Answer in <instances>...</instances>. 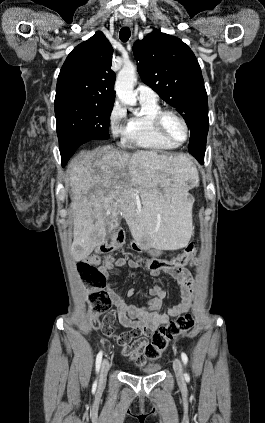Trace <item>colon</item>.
<instances>
[{"label":"colon","mask_w":265,"mask_h":423,"mask_svg":"<svg viewBox=\"0 0 265 423\" xmlns=\"http://www.w3.org/2000/svg\"><path fill=\"white\" fill-rule=\"evenodd\" d=\"M126 233L118 229L109 241L98 246L87 258L77 263V271L88 288V300L91 304L92 325L100 329L106 336H112V316L106 314L100 321L99 315L105 314L111 307L109 293L104 289L105 278L97 268L101 262H113V251L124 245ZM195 247L193 244L187 246L185 252L173 259L149 258L146 259V266L151 272L178 271L185 267L194 257ZM194 324L191 314H184L177 317L169 324L160 327L154 332L150 343H146L143 354L149 360L157 359L166 349L168 343L183 333L188 332Z\"/></svg>","instance_id":"1"}]
</instances>
